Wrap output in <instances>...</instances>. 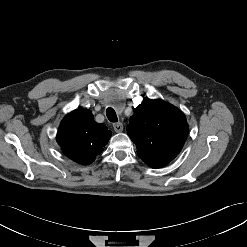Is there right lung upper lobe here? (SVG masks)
Wrapping results in <instances>:
<instances>
[{
	"instance_id": "obj_1",
	"label": "right lung upper lobe",
	"mask_w": 247,
	"mask_h": 247,
	"mask_svg": "<svg viewBox=\"0 0 247 247\" xmlns=\"http://www.w3.org/2000/svg\"><path fill=\"white\" fill-rule=\"evenodd\" d=\"M111 136L105 124L94 121L83 108L67 114L60 123L57 142L66 156L79 164H90L103 152Z\"/></svg>"
}]
</instances>
